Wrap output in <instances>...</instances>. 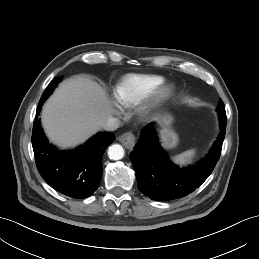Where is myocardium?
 Returning a JSON list of instances; mask_svg holds the SVG:
<instances>
[{
    "instance_id": "myocardium-1",
    "label": "myocardium",
    "mask_w": 259,
    "mask_h": 259,
    "mask_svg": "<svg viewBox=\"0 0 259 259\" xmlns=\"http://www.w3.org/2000/svg\"><path fill=\"white\" fill-rule=\"evenodd\" d=\"M172 94L173 86L171 84L156 87L140 101L138 114L143 118L151 116L170 100Z\"/></svg>"
}]
</instances>
